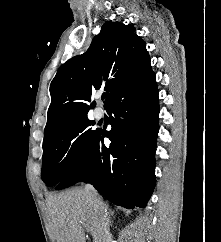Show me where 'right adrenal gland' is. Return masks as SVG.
Here are the masks:
<instances>
[{
    "instance_id": "right-adrenal-gland-1",
    "label": "right adrenal gland",
    "mask_w": 221,
    "mask_h": 242,
    "mask_svg": "<svg viewBox=\"0 0 221 242\" xmlns=\"http://www.w3.org/2000/svg\"><path fill=\"white\" fill-rule=\"evenodd\" d=\"M114 215V211L109 208V223L110 226H112L113 221L111 220V217Z\"/></svg>"
}]
</instances>
